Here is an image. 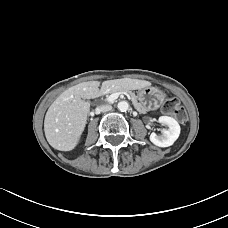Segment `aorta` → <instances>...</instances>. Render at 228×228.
<instances>
[{
	"instance_id": "aorta-1",
	"label": "aorta",
	"mask_w": 228,
	"mask_h": 228,
	"mask_svg": "<svg viewBox=\"0 0 228 228\" xmlns=\"http://www.w3.org/2000/svg\"><path fill=\"white\" fill-rule=\"evenodd\" d=\"M117 108L119 111L121 112H125L128 110L129 108V104L127 101H120L118 104H117Z\"/></svg>"
}]
</instances>
